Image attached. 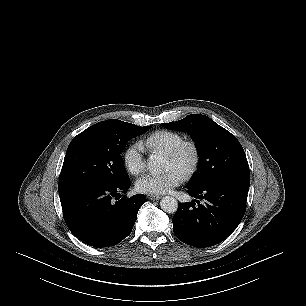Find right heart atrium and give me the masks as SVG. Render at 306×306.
Masks as SVG:
<instances>
[{
    "mask_svg": "<svg viewBox=\"0 0 306 306\" xmlns=\"http://www.w3.org/2000/svg\"><path fill=\"white\" fill-rule=\"evenodd\" d=\"M125 168L132 175H139L145 168L144 150L140 143L130 144L123 154Z\"/></svg>",
    "mask_w": 306,
    "mask_h": 306,
    "instance_id": "1",
    "label": "right heart atrium"
}]
</instances>
